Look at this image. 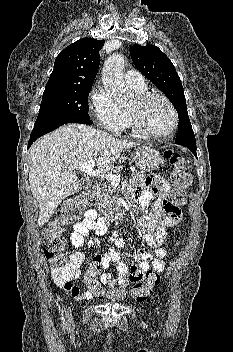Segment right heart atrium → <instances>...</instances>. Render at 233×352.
<instances>
[{
    "instance_id": "obj_1",
    "label": "right heart atrium",
    "mask_w": 233,
    "mask_h": 352,
    "mask_svg": "<svg viewBox=\"0 0 233 352\" xmlns=\"http://www.w3.org/2000/svg\"><path fill=\"white\" fill-rule=\"evenodd\" d=\"M94 116L105 129L118 133L124 129L126 113L102 87H96L91 95Z\"/></svg>"
}]
</instances>
